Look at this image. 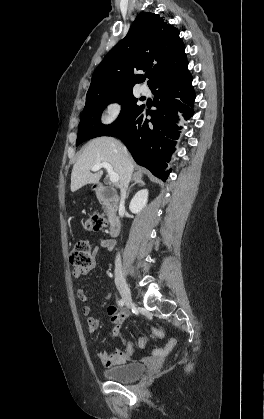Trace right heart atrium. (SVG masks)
I'll use <instances>...</instances> for the list:
<instances>
[{
    "label": "right heart atrium",
    "mask_w": 264,
    "mask_h": 419,
    "mask_svg": "<svg viewBox=\"0 0 264 419\" xmlns=\"http://www.w3.org/2000/svg\"><path fill=\"white\" fill-rule=\"evenodd\" d=\"M123 103L119 100L110 101L102 117V122L106 125L112 124L119 119L123 112Z\"/></svg>",
    "instance_id": "right-heart-atrium-1"
}]
</instances>
